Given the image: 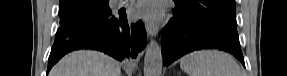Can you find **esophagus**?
I'll use <instances>...</instances> for the list:
<instances>
[{
    "instance_id": "esophagus-1",
    "label": "esophagus",
    "mask_w": 287,
    "mask_h": 76,
    "mask_svg": "<svg viewBox=\"0 0 287 76\" xmlns=\"http://www.w3.org/2000/svg\"><path fill=\"white\" fill-rule=\"evenodd\" d=\"M145 28L149 36H156L159 31V27L152 21L144 20Z\"/></svg>"
}]
</instances>
